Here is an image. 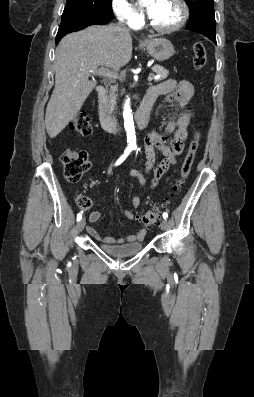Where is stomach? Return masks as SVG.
Segmentation results:
<instances>
[{"instance_id": "stomach-1", "label": "stomach", "mask_w": 254, "mask_h": 397, "mask_svg": "<svg viewBox=\"0 0 254 397\" xmlns=\"http://www.w3.org/2000/svg\"><path fill=\"white\" fill-rule=\"evenodd\" d=\"M148 53L157 61H165L174 54L172 43L165 38L152 37L143 43Z\"/></svg>"}]
</instances>
